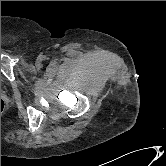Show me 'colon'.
<instances>
[{
	"label": "colon",
	"instance_id": "obj_1",
	"mask_svg": "<svg viewBox=\"0 0 166 166\" xmlns=\"http://www.w3.org/2000/svg\"><path fill=\"white\" fill-rule=\"evenodd\" d=\"M4 109H5V103H4V101L1 99V114L3 113Z\"/></svg>",
	"mask_w": 166,
	"mask_h": 166
}]
</instances>
